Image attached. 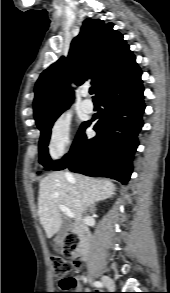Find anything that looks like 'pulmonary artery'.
<instances>
[{
	"mask_svg": "<svg viewBox=\"0 0 170 293\" xmlns=\"http://www.w3.org/2000/svg\"><path fill=\"white\" fill-rule=\"evenodd\" d=\"M82 96L85 98L84 101L81 104L82 110L87 112V113L92 112L93 109H94V105L90 100L87 99L88 91H86V90L83 91Z\"/></svg>",
	"mask_w": 170,
	"mask_h": 293,
	"instance_id": "pulmonary-artery-1",
	"label": "pulmonary artery"
}]
</instances>
